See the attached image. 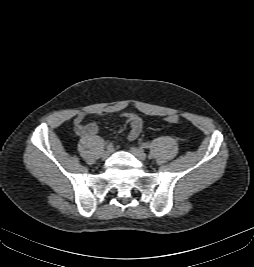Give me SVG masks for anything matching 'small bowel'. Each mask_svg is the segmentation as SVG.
<instances>
[{
	"mask_svg": "<svg viewBox=\"0 0 254 267\" xmlns=\"http://www.w3.org/2000/svg\"><path fill=\"white\" fill-rule=\"evenodd\" d=\"M108 113L97 111L93 113H79L74 119V129L75 132L80 136H94L98 133L99 129L96 123H89L84 125V119L89 116H104ZM124 118L126 119L127 123L130 125V130L128 132L127 138L130 141H134L140 135L143 129V121L142 119L134 113H125Z\"/></svg>",
	"mask_w": 254,
	"mask_h": 267,
	"instance_id": "obj_1",
	"label": "small bowel"
}]
</instances>
